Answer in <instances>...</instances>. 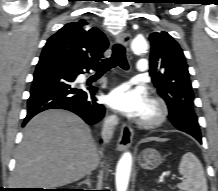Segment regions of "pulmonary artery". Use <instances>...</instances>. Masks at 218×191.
Instances as JSON below:
<instances>
[{"mask_svg":"<svg viewBox=\"0 0 218 191\" xmlns=\"http://www.w3.org/2000/svg\"><path fill=\"white\" fill-rule=\"evenodd\" d=\"M147 67H148V60L140 59L136 65V69H137L136 73L141 74L145 72L147 70Z\"/></svg>","mask_w":218,"mask_h":191,"instance_id":"obj_1","label":"pulmonary artery"}]
</instances>
